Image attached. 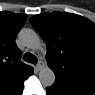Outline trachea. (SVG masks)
Instances as JSON below:
<instances>
[{"label": "trachea", "mask_w": 95, "mask_h": 95, "mask_svg": "<svg viewBox=\"0 0 95 95\" xmlns=\"http://www.w3.org/2000/svg\"><path fill=\"white\" fill-rule=\"evenodd\" d=\"M23 60L32 64H36L38 59L31 53H25L23 56Z\"/></svg>", "instance_id": "trachea-1"}]
</instances>
